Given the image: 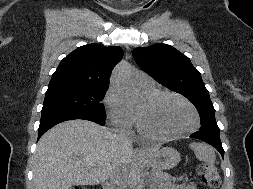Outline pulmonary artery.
<instances>
[{"label": "pulmonary artery", "mask_w": 253, "mask_h": 189, "mask_svg": "<svg viewBox=\"0 0 253 189\" xmlns=\"http://www.w3.org/2000/svg\"><path fill=\"white\" fill-rule=\"evenodd\" d=\"M136 85L139 87V89L144 91H149L154 89V82L153 80L148 76H141L136 80Z\"/></svg>", "instance_id": "1"}]
</instances>
